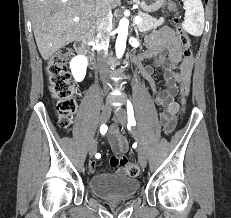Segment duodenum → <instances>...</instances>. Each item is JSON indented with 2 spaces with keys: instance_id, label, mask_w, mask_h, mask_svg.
I'll return each mask as SVG.
<instances>
[{
  "instance_id": "obj_1",
  "label": "duodenum",
  "mask_w": 231,
  "mask_h": 218,
  "mask_svg": "<svg viewBox=\"0 0 231 218\" xmlns=\"http://www.w3.org/2000/svg\"><path fill=\"white\" fill-rule=\"evenodd\" d=\"M91 33H87L84 36L78 38L74 43L76 52L86 57L88 65L91 69L95 68L96 62L93 54L89 51V40Z\"/></svg>"
}]
</instances>
